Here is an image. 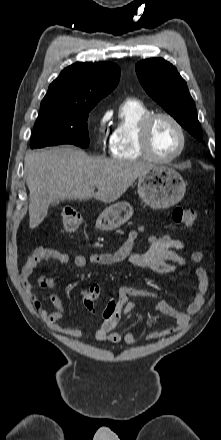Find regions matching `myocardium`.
<instances>
[{"instance_id":"myocardium-1","label":"myocardium","mask_w":221,"mask_h":440,"mask_svg":"<svg viewBox=\"0 0 221 440\" xmlns=\"http://www.w3.org/2000/svg\"><path fill=\"white\" fill-rule=\"evenodd\" d=\"M159 118H165L171 121L175 127L177 128L179 135H180V146L178 150L171 155L170 157H159L157 156L150 144V132L151 128L154 124V122ZM138 141L139 146L141 148V151L145 158H147L150 161L157 162V163H170L177 159L185 150L186 144H187V138H186V132L183 127V125L180 123V121L174 117L172 114L167 112H152L145 116L138 127Z\"/></svg>"}]
</instances>
